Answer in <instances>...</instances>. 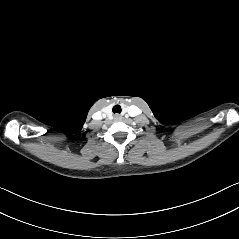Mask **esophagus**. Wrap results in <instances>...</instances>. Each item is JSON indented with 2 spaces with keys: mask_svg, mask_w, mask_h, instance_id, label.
<instances>
[{
  "mask_svg": "<svg viewBox=\"0 0 239 239\" xmlns=\"http://www.w3.org/2000/svg\"><path fill=\"white\" fill-rule=\"evenodd\" d=\"M114 118L118 120V119H121V116L118 115V114H116V115L114 116Z\"/></svg>",
  "mask_w": 239,
  "mask_h": 239,
  "instance_id": "obj_1",
  "label": "esophagus"
}]
</instances>
